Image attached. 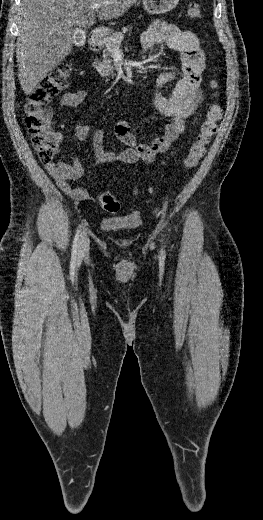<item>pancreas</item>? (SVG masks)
Returning a JSON list of instances; mask_svg holds the SVG:
<instances>
[{"label":"pancreas","instance_id":"cf45deb5","mask_svg":"<svg viewBox=\"0 0 263 520\" xmlns=\"http://www.w3.org/2000/svg\"><path fill=\"white\" fill-rule=\"evenodd\" d=\"M131 28L132 27H123L121 31L115 32L112 35L104 38L103 45L106 54L103 56V59L100 62L95 61L93 63V66L101 76L107 77L110 75V73L113 72V67L111 66V57H113L114 50L120 47L124 39V34Z\"/></svg>","mask_w":263,"mask_h":520}]
</instances>
